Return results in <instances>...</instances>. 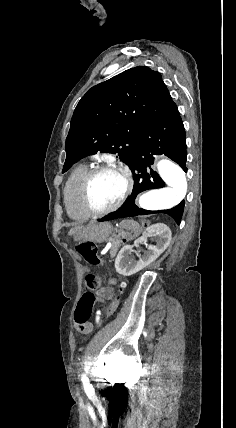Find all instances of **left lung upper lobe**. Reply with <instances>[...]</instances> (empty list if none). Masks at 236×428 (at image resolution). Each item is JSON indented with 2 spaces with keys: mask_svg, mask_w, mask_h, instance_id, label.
<instances>
[{
  "mask_svg": "<svg viewBox=\"0 0 236 428\" xmlns=\"http://www.w3.org/2000/svg\"><path fill=\"white\" fill-rule=\"evenodd\" d=\"M171 103L161 74L146 66L126 70L90 88L71 119L63 172L98 151L118 153L130 166L143 128Z\"/></svg>",
  "mask_w": 236,
  "mask_h": 428,
  "instance_id": "5c2ea615",
  "label": "left lung upper lobe"
}]
</instances>
